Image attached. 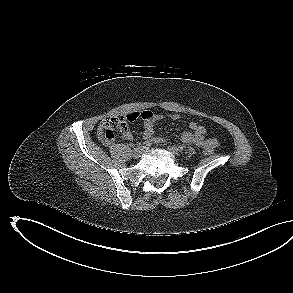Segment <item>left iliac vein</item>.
Returning <instances> with one entry per match:
<instances>
[{
  "label": "left iliac vein",
  "mask_w": 293,
  "mask_h": 293,
  "mask_svg": "<svg viewBox=\"0 0 293 293\" xmlns=\"http://www.w3.org/2000/svg\"><path fill=\"white\" fill-rule=\"evenodd\" d=\"M169 151L175 155L179 154V149L176 146L169 147Z\"/></svg>",
  "instance_id": "obj_1"
}]
</instances>
